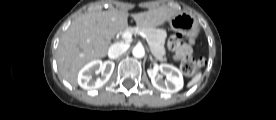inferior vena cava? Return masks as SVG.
Instances as JSON below:
<instances>
[{
    "instance_id": "1",
    "label": "inferior vena cava",
    "mask_w": 276,
    "mask_h": 120,
    "mask_svg": "<svg viewBox=\"0 0 276 120\" xmlns=\"http://www.w3.org/2000/svg\"><path fill=\"white\" fill-rule=\"evenodd\" d=\"M129 48L128 44L125 43H115L110 46L108 50V56L110 59H116L123 53H125Z\"/></svg>"
}]
</instances>
